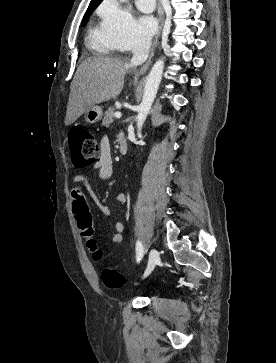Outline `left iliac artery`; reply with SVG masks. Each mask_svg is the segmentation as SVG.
Masks as SVG:
<instances>
[{
	"label": "left iliac artery",
	"instance_id": "left-iliac-artery-1",
	"mask_svg": "<svg viewBox=\"0 0 276 363\" xmlns=\"http://www.w3.org/2000/svg\"><path fill=\"white\" fill-rule=\"evenodd\" d=\"M142 257H143V245L141 241L138 240L136 243V260L138 263L140 262Z\"/></svg>",
	"mask_w": 276,
	"mask_h": 363
}]
</instances>
